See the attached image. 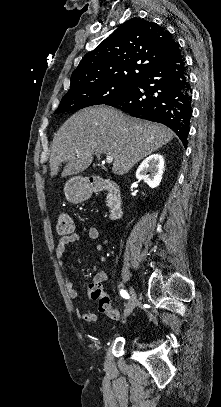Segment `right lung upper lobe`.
<instances>
[{"label":"right lung upper lobe","mask_w":221,"mask_h":407,"mask_svg":"<svg viewBox=\"0 0 221 407\" xmlns=\"http://www.w3.org/2000/svg\"><path fill=\"white\" fill-rule=\"evenodd\" d=\"M178 47L179 43L165 28L132 18L85 54L72 73L68 92L100 83H135Z\"/></svg>","instance_id":"1"}]
</instances>
